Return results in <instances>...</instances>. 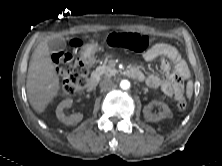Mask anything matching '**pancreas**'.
<instances>
[{"label":"pancreas","mask_w":222,"mask_h":166,"mask_svg":"<svg viewBox=\"0 0 222 166\" xmlns=\"http://www.w3.org/2000/svg\"><path fill=\"white\" fill-rule=\"evenodd\" d=\"M114 65L115 64L112 60L105 59L103 65L96 68V73L99 76L111 77L116 73Z\"/></svg>","instance_id":"1"}]
</instances>
